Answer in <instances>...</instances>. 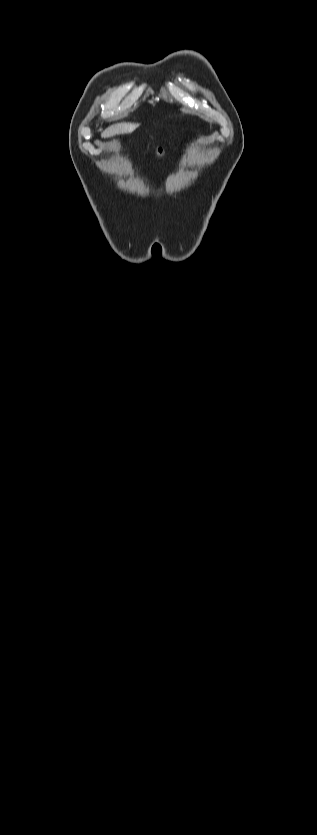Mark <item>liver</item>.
Listing matches in <instances>:
<instances>
[{
    "label": "liver",
    "mask_w": 317,
    "mask_h": 835,
    "mask_svg": "<svg viewBox=\"0 0 317 835\" xmlns=\"http://www.w3.org/2000/svg\"><path fill=\"white\" fill-rule=\"evenodd\" d=\"M139 126L138 123H117L108 127L102 134V138H110L118 134L133 132Z\"/></svg>",
    "instance_id": "1"
}]
</instances>
